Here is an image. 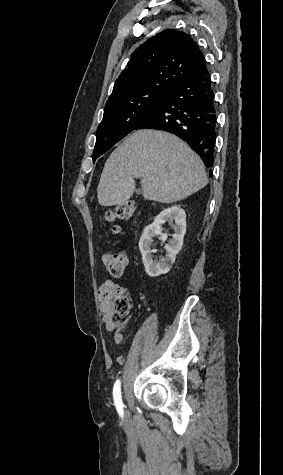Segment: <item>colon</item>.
<instances>
[{
    "mask_svg": "<svg viewBox=\"0 0 283 475\" xmlns=\"http://www.w3.org/2000/svg\"><path fill=\"white\" fill-rule=\"evenodd\" d=\"M136 216V208L133 202H125L118 204L114 208L108 210L104 214V218L110 222L117 219L130 220ZM115 232L118 228L115 227ZM126 253L123 250L115 252H104L102 254V263L108 274L113 277H121L126 267ZM106 304L113 306L116 316H127L130 313L131 304L128 294L125 289L120 288L117 291L115 298L110 297L106 299Z\"/></svg>",
    "mask_w": 283,
    "mask_h": 475,
    "instance_id": "colon-1",
    "label": "colon"
}]
</instances>
